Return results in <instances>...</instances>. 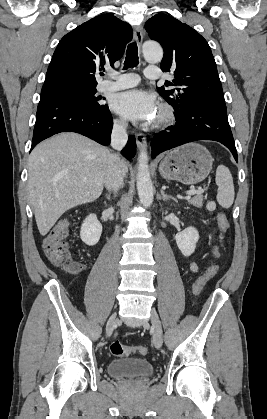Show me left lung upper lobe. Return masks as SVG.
I'll use <instances>...</instances> for the list:
<instances>
[{"mask_svg":"<svg viewBox=\"0 0 267 419\" xmlns=\"http://www.w3.org/2000/svg\"><path fill=\"white\" fill-rule=\"evenodd\" d=\"M145 29L164 49L162 71L174 72L175 79L166 81L158 92L172 105L175 115L197 105L225 104L211 49L196 30L166 14L150 18ZM168 86L176 88L166 90Z\"/></svg>","mask_w":267,"mask_h":419,"instance_id":"1","label":"left lung upper lobe"}]
</instances>
